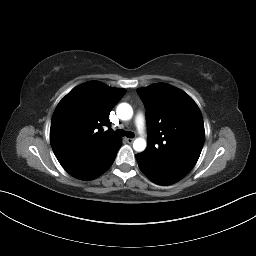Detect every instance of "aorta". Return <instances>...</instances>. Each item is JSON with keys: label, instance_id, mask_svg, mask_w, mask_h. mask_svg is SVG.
<instances>
[{"label": "aorta", "instance_id": "obj_1", "mask_svg": "<svg viewBox=\"0 0 256 256\" xmlns=\"http://www.w3.org/2000/svg\"><path fill=\"white\" fill-rule=\"evenodd\" d=\"M117 116L121 120H130L133 116V109L128 103H121L116 109ZM146 148V140L144 138H136L133 142V149L137 152H142Z\"/></svg>", "mask_w": 256, "mask_h": 256}]
</instances>
